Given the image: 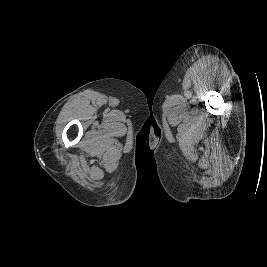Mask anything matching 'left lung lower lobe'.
Returning a JSON list of instances; mask_svg holds the SVG:
<instances>
[{
	"mask_svg": "<svg viewBox=\"0 0 267 267\" xmlns=\"http://www.w3.org/2000/svg\"><path fill=\"white\" fill-rule=\"evenodd\" d=\"M137 159H139L141 157V152H140V148L137 145V155H136Z\"/></svg>",
	"mask_w": 267,
	"mask_h": 267,
	"instance_id": "1",
	"label": "left lung lower lobe"
}]
</instances>
